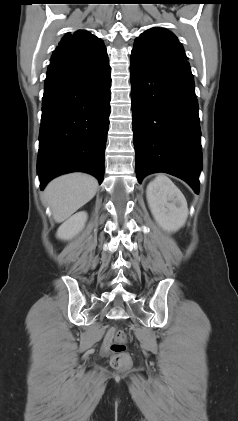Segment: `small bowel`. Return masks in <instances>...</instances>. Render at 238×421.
Masks as SVG:
<instances>
[{"label":"small bowel","instance_id":"small-bowel-1","mask_svg":"<svg viewBox=\"0 0 238 421\" xmlns=\"http://www.w3.org/2000/svg\"><path fill=\"white\" fill-rule=\"evenodd\" d=\"M105 344L108 345L109 344V335L107 334L106 338H105Z\"/></svg>","mask_w":238,"mask_h":421}]
</instances>
